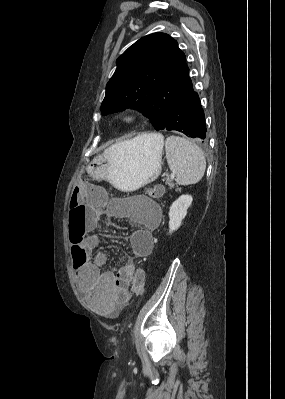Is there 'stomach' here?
<instances>
[{
	"label": "stomach",
	"mask_w": 285,
	"mask_h": 399,
	"mask_svg": "<svg viewBox=\"0 0 285 399\" xmlns=\"http://www.w3.org/2000/svg\"><path fill=\"white\" fill-rule=\"evenodd\" d=\"M163 145L160 134L117 143L97 155L87 172L94 179L107 180L123 191H134L160 175Z\"/></svg>",
	"instance_id": "stomach-1"
}]
</instances>
